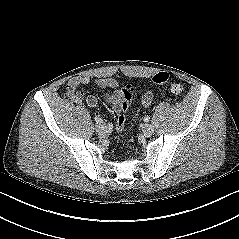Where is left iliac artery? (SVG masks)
<instances>
[{"label":"left iliac artery","mask_w":239,"mask_h":239,"mask_svg":"<svg viewBox=\"0 0 239 239\" xmlns=\"http://www.w3.org/2000/svg\"><path fill=\"white\" fill-rule=\"evenodd\" d=\"M149 120H150V117H149V116H145V117H144V121H145V122H148Z\"/></svg>","instance_id":"obj_1"}]
</instances>
